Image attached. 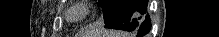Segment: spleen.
Returning a JSON list of instances; mask_svg holds the SVG:
<instances>
[{
	"mask_svg": "<svg viewBox=\"0 0 219 37\" xmlns=\"http://www.w3.org/2000/svg\"><path fill=\"white\" fill-rule=\"evenodd\" d=\"M128 34H125V33H119V32H111L109 33V35L107 37H129V36H126Z\"/></svg>",
	"mask_w": 219,
	"mask_h": 37,
	"instance_id": "3e777b00",
	"label": "spleen"
}]
</instances>
